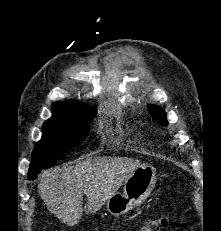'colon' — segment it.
<instances>
[{
	"label": "colon",
	"instance_id": "colon-1",
	"mask_svg": "<svg viewBox=\"0 0 221 231\" xmlns=\"http://www.w3.org/2000/svg\"><path fill=\"white\" fill-rule=\"evenodd\" d=\"M168 224V217L163 215L147 220L138 231H160L163 227L168 226Z\"/></svg>",
	"mask_w": 221,
	"mask_h": 231
}]
</instances>
